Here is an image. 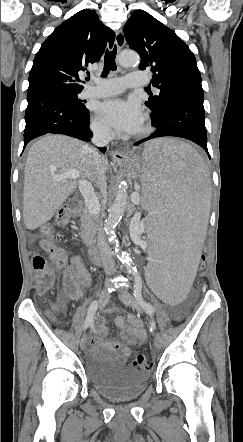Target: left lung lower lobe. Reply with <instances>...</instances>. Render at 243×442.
<instances>
[{
	"label": "left lung lower lobe",
	"instance_id": "left-lung-lower-lobe-1",
	"mask_svg": "<svg viewBox=\"0 0 243 442\" xmlns=\"http://www.w3.org/2000/svg\"><path fill=\"white\" fill-rule=\"evenodd\" d=\"M203 97V89L184 88L176 91L166 101L163 111L151 117L152 125L157 130L135 145L158 137L175 136L193 141L209 156Z\"/></svg>",
	"mask_w": 243,
	"mask_h": 442
}]
</instances>
